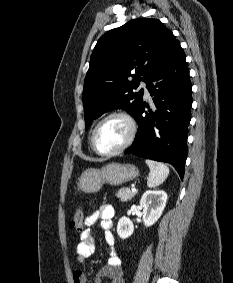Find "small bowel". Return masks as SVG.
Listing matches in <instances>:
<instances>
[{
  "label": "small bowel",
  "instance_id": "1",
  "mask_svg": "<svg viewBox=\"0 0 233 283\" xmlns=\"http://www.w3.org/2000/svg\"><path fill=\"white\" fill-rule=\"evenodd\" d=\"M114 208L110 204H102L91 212L85 219V229L80 235V241L76 248L77 260L83 263L94 252V237L91 231L92 226L100 221L104 230V240L109 248L107 264L98 273L96 283L102 278H107L111 283H125L121 268V259L115 249V238L111 231L113 226ZM74 283H86L84 273L77 270L73 274Z\"/></svg>",
  "mask_w": 233,
  "mask_h": 283
}]
</instances>
